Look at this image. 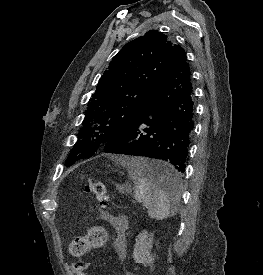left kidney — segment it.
<instances>
[{
    "mask_svg": "<svg viewBox=\"0 0 263 275\" xmlns=\"http://www.w3.org/2000/svg\"><path fill=\"white\" fill-rule=\"evenodd\" d=\"M153 247V235L146 230L142 231L135 239L133 258L136 263L147 265L152 263L153 258L150 254Z\"/></svg>",
    "mask_w": 263,
    "mask_h": 275,
    "instance_id": "left-kidney-1",
    "label": "left kidney"
}]
</instances>
